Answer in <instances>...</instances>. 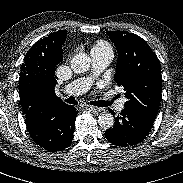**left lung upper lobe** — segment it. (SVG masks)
<instances>
[{"instance_id":"obj_1","label":"left lung upper lobe","mask_w":183,"mask_h":183,"mask_svg":"<svg viewBox=\"0 0 183 183\" xmlns=\"http://www.w3.org/2000/svg\"><path fill=\"white\" fill-rule=\"evenodd\" d=\"M118 52L115 82L123 86L134 109L155 120L161 100V66L156 54L141 37L127 31H108Z\"/></svg>"}]
</instances>
